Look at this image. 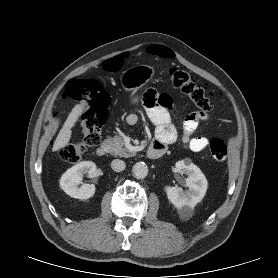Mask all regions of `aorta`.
<instances>
[{
	"mask_svg": "<svg viewBox=\"0 0 278 278\" xmlns=\"http://www.w3.org/2000/svg\"><path fill=\"white\" fill-rule=\"evenodd\" d=\"M133 174L138 179H143L148 175V167L144 162H137L133 166Z\"/></svg>",
	"mask_w": 278,
	"mask_h": 278,
	"instance_id": "1",
	"label": "aorta"
}]
</instances>
